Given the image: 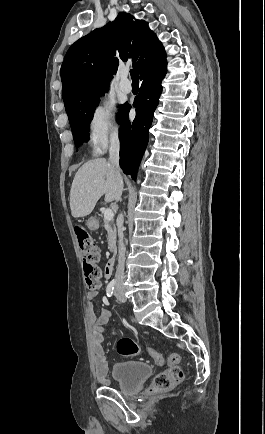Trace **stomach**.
I'll return each instance as SVG.
<instances>
[{
	"label": "stomach",
	"mask_w": 265,
	"mask_h": 434,
	"mask_svg": "<svg viewBox=\"0 0 265 434\" xmlns=\"http://www.w3.org/2000/svg\"><path fill=\"white\" fill-rule=\"evenodd\" d=\"M88 226H90V230L93 232H96L99 229V226L95 223V220H90V222H88Z\"/></svg>",
	"instance_id": "obj_1"
}]
</instances>
